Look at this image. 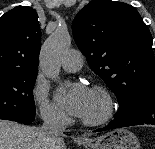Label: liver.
Segmentation results:
<instances>
[{
    "label": "liver",
    "mask_w": 155,
    "mask_h": 149,
    "mask_svg": "<svg viewBox=\"0 0 155 149\" xmlns=\"http://www.w3.org/2000/svg\"><path fill=\"white\" fill-rule=\"evenodd\" d=\"M0 149H66V145L62 140L51 146L42 128L0 120Z\"/></svg>",
    "instance_id": "1"
}]
</instances>
